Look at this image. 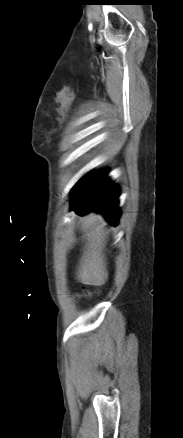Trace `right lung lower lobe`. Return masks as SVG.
<instances>
[{"instance_id":"right-lung-lower-lobe-1","label":"right lung lower lobe","mask_w":183,"mask_h":438,"mask_svg":"<svg viewBox=\"0 0 183 438\" xmlns=\"http://www.w3.org/2000/svg\"><path fill=\"white\" fill-rule=\"evenodd\" d=\"M107 171L86 174L75 185L72 193L71 209L83 215L90 211L102 213L114 226L117 225L118 187L106 178Z\"/></svg>"}]
</instances>
